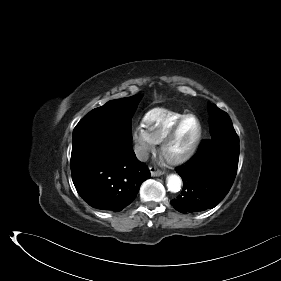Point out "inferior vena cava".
<instances>
[{"label": "inferior vena cava", "mask_w": 281, "mask_h": 281, "mask_svg": "<svg viewBox=\"0 0 281 281\" xmlns=\"http://www.w3.org/2000/svg\"><path fill=\"white\" fill-rule=\"evenodd\" d=\"M134 151H135L136 157H137L140 161L144 162V161H147V160H148V158H149V153H148V151H147L146 148H144V147L138 145V146H135Z\"/></svg>", "instance_id": "602c4592"}]
</instances>
